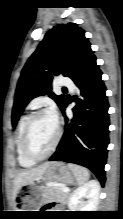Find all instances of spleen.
Segmentation results:
<instances>
[{"label": "spleen", "mask_w": 123, "mask_h": 219, "mask_svg": "<svg viewBox=\"0 0 123 219\" xmlns=\"http://www.w3.org/2000/svg\"><path fill=\"white\" fill-rule=\"evenodd\" d=\"M69 168L72 170L76 177V181L79 185L84 184L90 177L89 171L81 166L75 164H69Z\"/></svg>", "instance_id": "spleen-1"}]
</instances>
